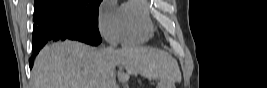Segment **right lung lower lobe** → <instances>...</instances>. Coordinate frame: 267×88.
I'll list each match as a JSON object with an SVG mask.
<instances>
[{"instance_id": "obj_1", "label": "right lung lower lobe", "mask_w": 267, "mask_h": 88, "mask_svg": "<svg viewBox=\"0 0 267 88\" xmlns=\"http://www.w3.org/2000/svg\"><path fill=\"white\" fill-rule=\"evenodd\" d=\"M32 50L35 54L51 42L57 40H78L96 46L102 39L96 27L74 19L60 9L41 2L35 6ZM30 68L33 64L30 63Z\"/></svg>"}]
</instances>
